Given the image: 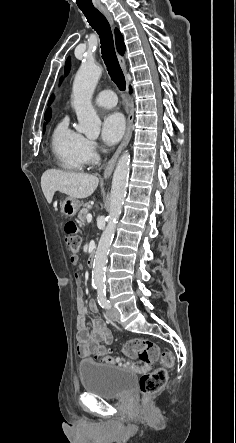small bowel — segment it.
<instances>
[{"mask_svg": "<svg viewBox=\"0 0 236 443\" xmlns=\"http://www.w3.org/2000/svg\"><path fill=\"white\" fill-rule=\"evenodd\" d=\"M75 281L78 285L81 283L79 274L75 275ZM76 310L78 314L76 319V337L78 341L77 352L79 356H88L93 351V347L97 346L100 342L106 344H111L113 342L112 334L106 329L102 320L98 318L92 319V331L89 332L87 325L88 313H96L98 308L94 301L85 304L83 300V291L80 287L76 290Z\"/></svg>", "mask_w": 236, "mask_h": 443, "instance_id": "obj_1", "label": "small bowel"}]
</instances>
